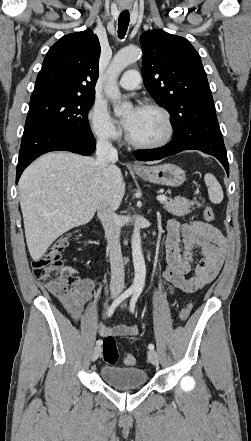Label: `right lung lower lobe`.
Returning <instances> with one entry per match:
<instances>
[{"label": "right lung lower lobe", "mask_w": 251, "mask_h": 441, "mask_svg": "<svg viewBox=\"0 0 251 441\" xmlns=\"http://www.w3.org/2000/svg\"><path fill=\"white\" fill-rule=\"evenodd\" d=\"M95 146L96 141L92 133L75 134L41 120L26 119L16 171V184L24 169L42 154L51 151H70L88 156L95 151Z\"/></svg>", "instance_id": "right-lung-lower-lobe-1"}]
</instances>
